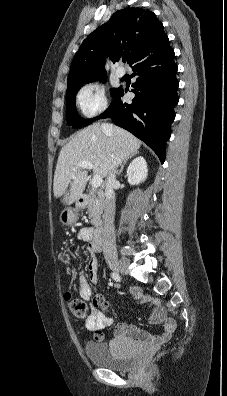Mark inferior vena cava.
Wrapping results in <instances>:
<instances>
[{"mask_svg":"<svg viewBox=\"0 0 227 396\" xmlns=\"http://www.w3.org/2000/svg\"><path fill=\"white\" fill-rule=\"evenodd\" d=\"M102 129L106 132L111 131V126L103 123ZM116 169L113 170L106 179L105 198H104V226H103V252L109 257L116 255V238L114 232V215H115V192L114 187L117 183Z\"/></svg>","mask_w":227,"mask_h":396,"instance_id":"1","label":"inferior vena cava"}]
</instances>
